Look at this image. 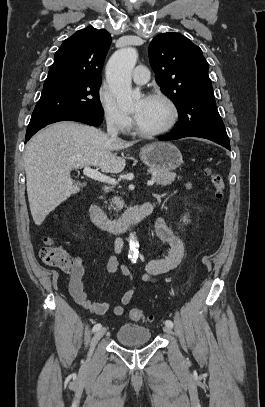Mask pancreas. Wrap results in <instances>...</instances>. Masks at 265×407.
<instances>
[{"label": "pancreas", "mask_w": 265, "mask_h": 407, "mask_svg": "<svg viewBox=\"0 0 265 407\" xmlns=\"http://www.w3.org/2000/svg\"><path fill=\"white\" fill-rule=\"evenodd\" d=\"M152 179L156 182L157 185L167 186L170 185L176 178V174L169 171H154ZM112 202L116 205L117 208L123 207V201L120 198L115 197Z\"/></svg>", "instance_id": "obj_1"}]
</instances>
